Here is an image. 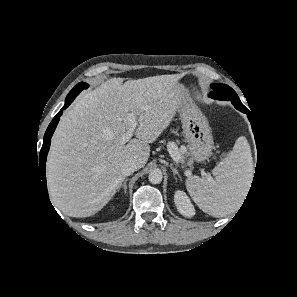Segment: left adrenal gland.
<instances>
[{
  "instance_id": "left-adrenal-gland-1",
  "label": "left adrenal gland",
  "mask_w": 297,
  "mask_h": 297,
  "mask_svg": "<svg viewBox=\"0 0 297 297\" xmlns=\"http://www.w3.org/2000/svg\"><path fill=\"white\" fill-rule=\"evenodd\" d=\"M170 169L172 170L174 175H178V177L181 179V175L179 174L177 168L173 166V164H170Z\"/></svg>"
}]
</instances>
